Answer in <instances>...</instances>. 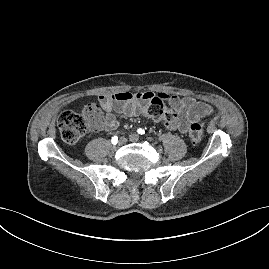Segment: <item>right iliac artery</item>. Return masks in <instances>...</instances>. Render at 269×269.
<instances>
[{
    "label": "right iliac artery",
    "mask_w": 269,
    "mask_h": 269,
    "mask_svg": "<svg viewBox=\"0 0 269 269\" xmlns=\"http://www.w3.org/2000/svg\"><path fill=\"white\" fill-rule=\"evenodd\" d=\"M111 142H112V144H117V142H118V137L117 136H113L112 137V139H111Z\"/></svg>",
    "instance_id": "obj_1"
}]
</instances>
